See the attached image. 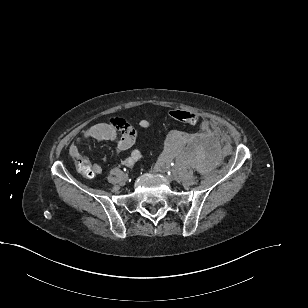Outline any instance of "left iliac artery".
Segmentation results:
<instances>
[{"mask_svg": "<svg viewBox=\"0 0 308 308\" xmlns=\"http://www.w3.org/2000/svg\"><path fill=\"white\" fill-rule=\"evenodd\" d=\"M171 166L174 167L175 166L174 163H171ZM167 168H169V167H167ZM167 173H168V175L172 174V172H170L169 170H167Z\"/></svg>", "mask_w": 308, "mask_h": 308, "instance_id": "left-iliac-artery-1", "label": "left iliac artery"}]
</instances>
